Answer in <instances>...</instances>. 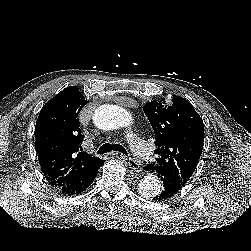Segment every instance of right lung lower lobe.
<instances>
[{"mask_svg": "<svg viewBox=\"0 0 251 251\" xmlns=\"http://www.w3.org/2000/svg\"><path fill=\"white\" fill-rule=\"evenodd\" d=\"M104 163V161L101 163V165ZM100 165V166H101ZM99 169V168H98ZM98 169L88 175L87 177L79 180V181H74L66 184H61V185H56L53 186L58 192L64 195H76L88 188L92 182L94 181L95 176L97 175Z\"/></svg>", "mask_w": 251, "mask_h": 251, "instance_id": "right-lung-lower-lobe-1", "label": "right lung lower lobe"}]
</instances>
